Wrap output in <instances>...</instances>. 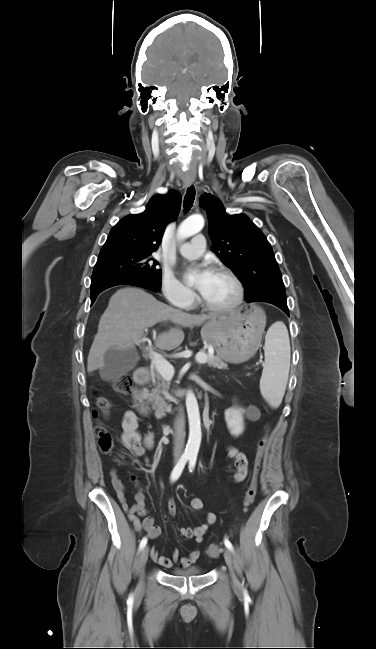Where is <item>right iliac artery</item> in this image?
Here are the masks:
<instances>
[{"instance_id": "obj_1", "label": "right iliac artery", "mask_w": 376, "mask_h": 649, "mask_svg": "<svg viewBox=\"0 0 376 649\" xmlns=\"http://www.w3.org/2000/svg\"><path fill=\"white\" fill-rule=\"evenodd\" d=\"M188 459H189V456H187V455H182L181 456V458L179 459V461L177 462V464L175 465V467H174V469H173V471L171 473V476H170L171 482H175L180 477V475H181V473H182ZM146 544H147V537H144L140 542L139 549L142 550L146 546Z\"/></svg>"}]
</instances>
